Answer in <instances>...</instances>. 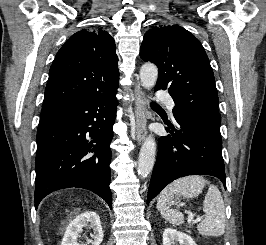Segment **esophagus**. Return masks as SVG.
Segmentation results:
<instances>
[{
	"instance_id": "obj_1",
	"label": "esophagus",
	"mask_w": 266,
	"mask_h": 245,
	"mask_svg": "<svg viewBox=\"0 0 266 245\" xmlns=\"http://www.w3.org/2000/svg\"><path fill=\"white\" fill-rule=\"evenodd\" d=\"M134 92H135V123H136L135 134H136V140L140 145L147 135L146 102H145L144 92L138 82L135 85Z\"/></svg>"
}]
</instances>
